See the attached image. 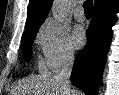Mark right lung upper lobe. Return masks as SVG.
<instances>
[{
	"mask_svg": "<svg viewBox=\"0 0 119 95\" xmlns=\"http://www.w3.org/2000/svg\"><path fill=\"white\" fill-rule=\"evenodd\" d=\"M116 0H95L94 11L99 10ZM52 0H30L28 5V17L24 33L40 28L50 10Z\"/></svg>",
	"mask_w": 119,
	"mask_h": 95,
	"instance_id": "obj_1",
	"label": "right lung upper lobe"
}]
</instances>
